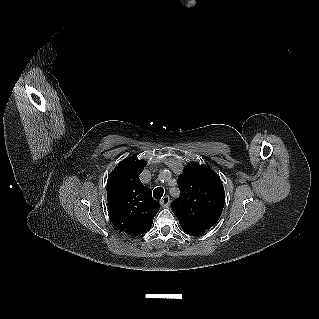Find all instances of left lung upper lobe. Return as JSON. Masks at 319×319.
<instances>
[{"instance_id": "5c2ea615", "label": "left lung upper lobe", "mask_w": 319, "mask_h": 319, "mask_svg": "<svg viewBox=\"0 0 319 319\" xmlns=\"http://www.w3.org/2000/svg\"><path fill=\"white\" fill-rule=\"evenodd\" d=\"M180 197L171 209L181 227L206 231L219 219L225 192L219 176L206 165L188 164L178 177Z\"/></svg>"}]
</instances>
